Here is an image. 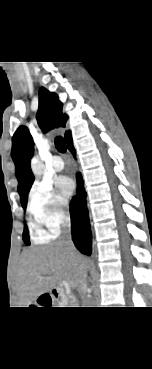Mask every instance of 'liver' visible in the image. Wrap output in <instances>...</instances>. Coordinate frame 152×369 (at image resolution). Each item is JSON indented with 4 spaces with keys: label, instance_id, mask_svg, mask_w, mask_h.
<instances>
[{
    "label": "liver",
    "instance_id": "1",
    "mask_svg": "<svg viewBox=\"0 0 152 369\" xmlns=\"http://www.w3.org/2000/svg\"><path fill=\"white\" fill-rule=\"evenodd\" d=\"M86 259L58 242L23 252L16 280L20 297L29 305L38 296L57 288L63 281L72 287L81 284Z\"/></svg>",
    "mask_w": 152,
    "mask_h": 369
}]
</instances>
